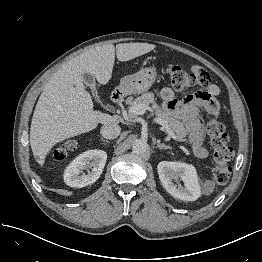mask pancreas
Instances as JSON below:
<instances>
[{
  "label": "pancreas",
  "instance_id": "pancreas-1",
  "mask_svg": "<svg viewBox=\"0 0 262 262\" xmlns=\"http://www.w3.org/2000/svg\"><path fill=\"white\" fill-rule=\"evenodd\" d=\"M130 106L136 105V104H144L147 107L151 105V107L155 110V114L162 119L163 121L166 122L170 130L177 136L178 139L183 140L184 137L187 135V131L183 125L182 122L179 120L174 119L173 117L170 116V114L163 110L156 102L154 99V94L151 92L144 93L140 97H137L133 101L128 102ZM131 118L136 117L134 114H129ZM199 150L198 146H193V152L194 154H197Z\"/></svg>",
  "mask_w": 262,
  "mask_h": 262
}]
</instances>
